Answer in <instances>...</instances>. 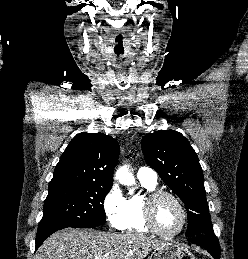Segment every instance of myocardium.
I'll use <instances>...</instances> for the list:
<instances>
[{
	"label": "myocardium",
	"instance_id": "1",
	"mask_svg": "<svg viewBox=\"0 0 248 259\" xmlns=\"http://www.w3.org/2000/svg\"><path fill=\"white\" fill-rule=\"evenodd\" d=\"M162 197L171 198L178 205L182 213L181 225L176 231L172 233H167L162 231L157 225V222L155 219V206L158 200ZM144 218L147 226L150 228L152 232L164 238H174L184 230L188 220V213L184 203L176 194L163 189H155L147 193L144 198Z\"/></svg>",
	"mask_w": 248,
	"mask_h": 259
}]
</instances>
